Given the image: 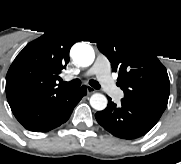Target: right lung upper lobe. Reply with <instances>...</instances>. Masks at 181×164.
I'll list each match as a JSON object with an SVG mask.
<instances>
[{
	"label": "right lung upper lobe",
	"mask_w": 181,
	"mask_h": 164,
	"mask_svg": "<svg viewBox=\"0 0 181 164\" xmlns=\"http://www.w3.org/2000/svg\"><path fill=\"white\" fill-rule=\"evenodd\" d=\"M93 39L84 28H54L30 42L18 54L6 75L8 103H46L69 90L56 84L69 62V51L78 41Z\"/></svg>",
	"instance_id": "obj_1"
}]
</instances>
